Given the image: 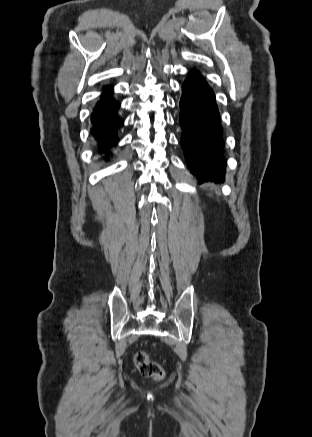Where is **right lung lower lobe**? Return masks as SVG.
Instances as JSON below:
<instances>
[{
    "instance_id": "1",
    "label": "right lung lower lobe",
    "mask_w": 312,
    "mask_h": 437,
    "mask_svg": "<svg viewBox=\"0 0 312 437\" xmlns=\"http://www.w3.org/2000/svg\"><path fill=\"white\" fill-rule=\"evenodd\" d=\"M112 91L109 86L103 88L101 99L92 114L91 132L99 142L101 152H107L117 143L116 131L123 124V120L117 114L120 104L110 96Z\"/></svg>"
}]
</instances>
